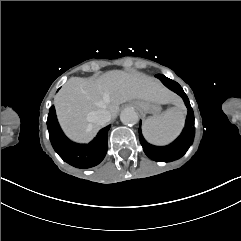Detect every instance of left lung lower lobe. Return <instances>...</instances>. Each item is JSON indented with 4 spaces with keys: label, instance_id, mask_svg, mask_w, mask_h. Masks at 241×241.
I'll return each mask as SVG.
<instances>
[{
    "label": "left lung lower lobe",
    "instance_id": "1",
    "mask_svg": "<svg viewBox=\"0 0 241 241\" xmlns=\"http://www.w3.org/2000/svg\"><path fill=\"white\" fill-rule=\"evenodd\" d=\"M156 77L161 80L166 87L181 96L188 109L185 127L181 135L173 143L167 146L160 147L149 144L143 138L141 128H139V139L145 154L154 161L169 162L184 155L189 146L192 144L195 134L194 113L187 95L177 82L165 77L162 74H157Z\"/></svg>",
    "mask_w": 241,
    "mask_h": 241
}]
</instances>
